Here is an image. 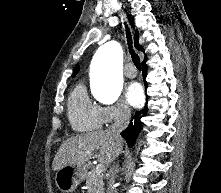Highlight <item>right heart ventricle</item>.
<instances>
[{
  "mask_svg": "<svg viewBox=\"0 0 221 193\" xmlns=\"http://www.w3.org/2000/svg\"><path fill=\"white\" fill-rule=\"evenodd\" d=\"M68 117L72 128L79 132H87L102 127V107L88 96L82 83L71 92L68 99Z\"/></svg>",
  "mask_w": 221,
  "mask_h": 193,
  "instance_id": "right-heart-ventricle-1",
  "label": "right heart ventricle"
}]
</instances>
